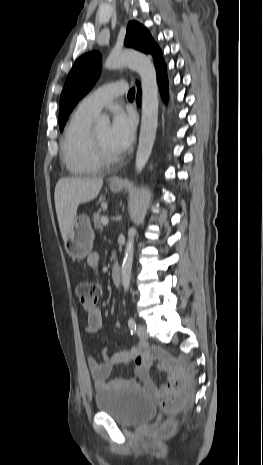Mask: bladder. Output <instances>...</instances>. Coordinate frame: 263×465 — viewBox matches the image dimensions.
I'll return each instance as SVG.
<instances>
[{
	"mask_svg": "<svg viewBox=\"0 0 263 465\" xmlns=\"http://www.w3.org/2000/svg\"><path fill=\"white\" fill-rule=\"evenodd\" d=\"M99 412L111 416L119 425L133 427L150 421L156 415V405L144 393L125 387H110L95 395Z\"/></svg>",
	"mask_w": 263,
	"mask_h": 465,
	"instance_id": "obj_1",
	"label": "bladder"
}]
</instances>
